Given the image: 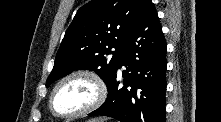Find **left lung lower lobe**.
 Returning <instances> with one entry per match:
<instances>
[{
	"label": "left lung lower lobe",
	"instance_id": "1",
	"mask_svg": "<svg viewBox=\"0 0 221 122\" xmlns=\"http://www.w3.org/2000/svg\"><path fill=\"white\" fill-rule=\"evenodd\" d=\"M125 66L122 88L117 71ZM166 42L151 0H140L105 103L89 115L121 122H165Z\"/></svg>",
	"mask_w": 221,
	"mask_h": 122
}]
</instances>
